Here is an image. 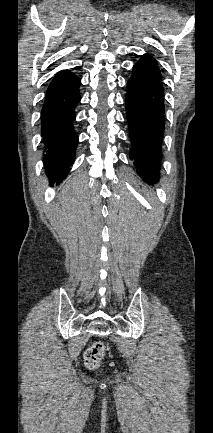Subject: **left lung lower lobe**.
<instances>
[{
  "mask_svg": "<svg viewBox=\"0 0 213 433\" xmlns=\"http://www.w3.org/2000/svg\"><path fill=\"white\" fill-rule=\"evenodd\" d=\"M125 104L132 143L130 158L140 177L148 184H156L165 118L161 72L149 54H144L132 69Z\"/></svg>",
  "mask_w": 213,
  "mask_h": 433,
  "instance_id": "left-lung-lower-lobe-1",
  "label": "left lung lower lobe"
}]
</instances>
